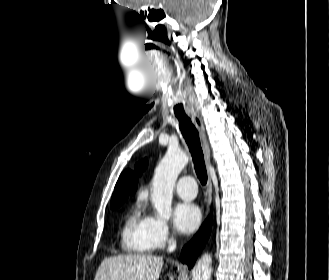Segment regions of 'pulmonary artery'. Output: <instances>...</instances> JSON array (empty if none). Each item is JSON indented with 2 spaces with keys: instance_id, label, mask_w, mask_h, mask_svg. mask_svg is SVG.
Wrapping results in <instances>:
<instances>
[{
  "instance_id": "pulmonary-artery-1",
  "label": "pulmonary artery",
  "mask_w": 329,
  "mask_h": 280,
  "mask_svg": "<svg viewBox=\"0 0 329 280\" xmlns=\"http://www.w3.org/2000/svg\"><path fill=\"white\" fill-rule=\"evenodd\" d=\"M175 190L182 199L192 200L196 197L197 185L192 176L186 175L177 181Z\"/></svg>"
}]
</instances>
